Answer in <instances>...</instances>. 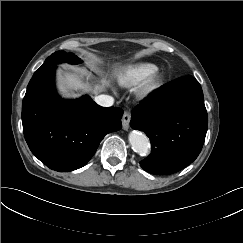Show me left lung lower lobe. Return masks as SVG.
<instances>
[{"mask_svg":"<svg viewBox=\"0 0 243 243\" xmlns=\"http://www.w3.org/2000/svg\"><path fill=\"white\" fill-rule=\"evenodd\" d=\"M199 82L186 76L154 91L131 112L130 126L146 133L152 151L140 162L152 174L175 173L199 155L207 132Z\"/></svg>","mask_w":243,"mask_h":243,"instance_id":"left-lung-lower-lobe-1","label":"left lung lower lobe"}]
</instances>
